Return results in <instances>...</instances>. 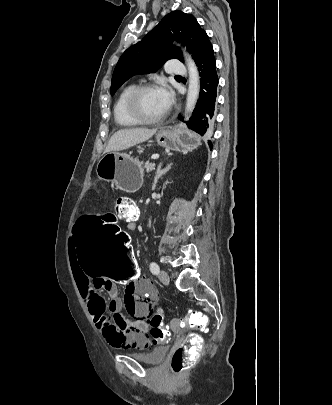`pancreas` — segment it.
Here are the masks:
<instances>
[{
	"label": "pancreas",
	"mask_w": 332,
	"mask_h": 405,
	"mask_svg": "<svg viewBox=\"0 0 332 405\" xmlns=\"http://www.w3.org/2000/svg\"><path fill=\"white\" fill-rule=\"evenodd\" d=\"M154 163H146L145 164V168L147 170V172L151 169V167H153Z\"/></svg>",
	"instance_id": "pancreas-1"
}]
</instances>
